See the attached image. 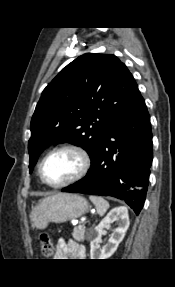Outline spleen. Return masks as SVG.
I'll return each mask as SVG.
<instances>
[{
    "mask_svg": "<svg viewBox=\"0 0 175 287\" xmlns=\"http://www.w3.org/2000/svg\"><path fill=\"white\" fill-rule=\"evenodd\" d=\"M89 199L95 205L98 214L101 216L104 215V213L109 208L108 201H106L104 198L100 196H94V195L89 196Z\"/></svg>",
    "mask_w": 175,
    "mask_h": 287,
    "instance_id": "obj_1",
    "label": "spleen"
}]
</instances>
